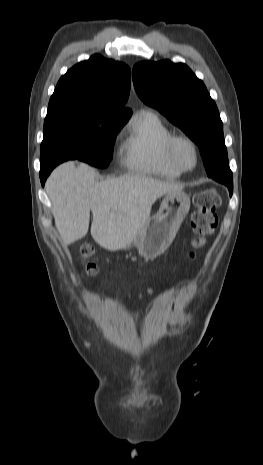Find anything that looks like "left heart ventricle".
Instances as JSON below:
<instances>
[{"label": "left heart ventricle", "mask_w": 263, "mask_h": 465, "mask_svg": "<svg viewBox=\"0 0 263 465\" xmlns=\"http://www.w3.org/2000/svg\"><path fill=\"white\" fill-rule=\"evenodd\" d=\"M176 153H177L178 159L183 165L187 167H190L193 165L194 153L190 145L184 142L179 143L176 147Z\"/></svg>", "instance_id": "left-heart-ventricle-1"}]
</instances>
